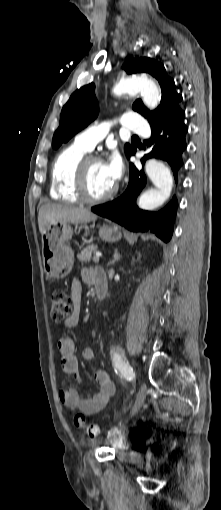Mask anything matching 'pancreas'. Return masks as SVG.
Instances as JSON below:
<instances>
[{
  "instance_id": "pancreas-1",
  "label": "pancreas",
  "mask_w": 221,
  "mask_h": 510,
  "mask_svg": "<svg viewBox=\"0 0 221 510\" xmlns=\"http://www.w3.org/2000/svg\"><path fill=\"white\" fill-rule=\"evenodd\" d=\"M96 250V245H88L80 253L77 254V258L81 262L89 263L92 257V253Z\"/></svg>"
}]
</instances>
